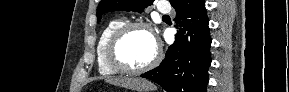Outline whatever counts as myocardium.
<instances>
[{
  "label": "myocardium",
  "mask_w": 289,
  "mask_h": 92,
  "mask_svg": "<svg viewBox=\"0 0 289 92\" xmlns=\"http://www.w3.org/2000/svg\"><path fill=\"white\" fill-rule=\"evenodd\" d=\"M142 28L149 31L153 38V30L151 26L143 21H127L123 23L120 27H118L114 33L111 35L107 47H106V58L109 63V65L114 68L115 70L123 73H130V74H139L146 72L152 68H154L160 61L162 50L160 45L155 40L156 45V51L155 55L152 58L150 62L147 64L141 66V67H132L125 63L120 55H119V47L123 39L126 37V35L133 29Z\"/></svg>",
  "instance_id": "myocardium-1"
}]
</instances>
